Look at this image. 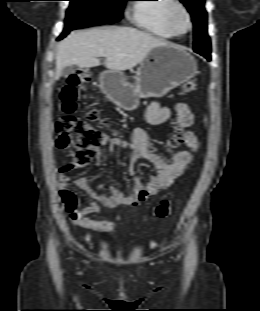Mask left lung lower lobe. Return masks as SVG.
<instances>
[{"mask_svg": "<svg viewBox=\"0 0 260 311\" xmlns=\"http://www.w3.org/2000/svg\"><path fill=\"white\" fill-rule=\"evenodd\" d=\"M195 52L201 54L202 56H204L205 58H207L209 61L211 60L210 52H204V51H195Z\"/></svg>", "mask_w": 260, "mask_h": 311, "instance_id": "1", "label": "left lung lower lobe"}]
</instances>
